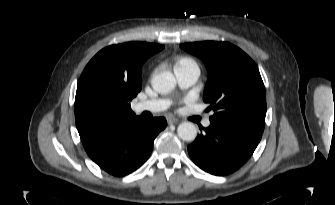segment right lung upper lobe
I'll return each mask as SVG.
<instances>
[{"label":"right lung upper lobe","instance_id":"obj_1","mask_svg":"<svg viewBox=\"0 0 335 205\" xmlns=\"http://www.w3.org/2000/svg\"><path fill=\"white\" fill-rule=\"evenodd\" d=\"M163 48L128 42L108 46L91 59L75 97V122L82 142L110 134L137 118L130 101L142 87L141 66Z\"/></svg>","mask_w":335,"mask_h":205}]
</instances>
